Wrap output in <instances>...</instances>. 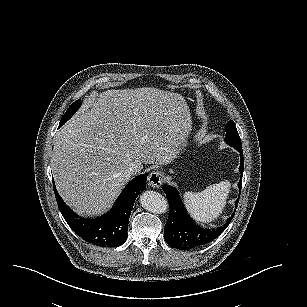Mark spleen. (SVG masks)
<instances>
[{
  "mask_svg": "<svg viewBox=\"0 0 307 307\" xmlns=\"http://www.w3.org/2000/svg\"><path fill=\"white\" fill-rule=\"evenodd\" d=\"M228 180L213 184L201 192H185L184 204L191 217L201 223H208L218 218L223 212L230 192Z\"/></svg>",
  "mask_w": 307,
  "mask_h": 307,
  "instance_id": "obj_1",
  "label": "spleen"
}]
</instances>
